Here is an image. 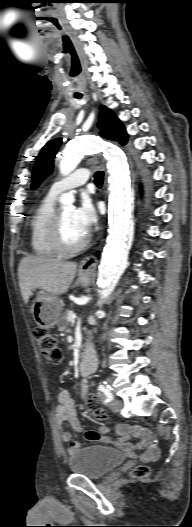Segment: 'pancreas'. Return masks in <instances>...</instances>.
Listing matches in <instances>:
<instances>
[{"label": "pancreas", "mask_w": 192, "mask_h": 527, "mask_svg": "<svg viewBox=\"0 0 192 527\" xmlns=\"http://www.w3.org/2000/svg\"><path fill=\"white\" fill-rule=\"evenodd\" d=\"M68 313L69 311L64 312L57 322L58 329L61 331L65 330L68 327V320H67Z\"/></svg>", "instance_id": "1"}]
</instances>
